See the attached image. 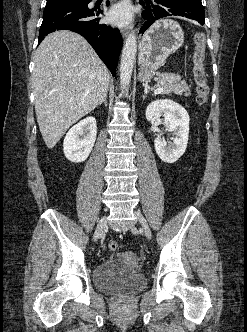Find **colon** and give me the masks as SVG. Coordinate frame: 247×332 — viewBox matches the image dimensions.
I'll return each instance as SVG.
<instances>
[{
	"label": "colon",
	"mask_w": 247,
	"mask_h": 332,
	"mask_svg": "<svg viewBox=\"0 0 247 332\" xmlns=\"http://www.w3.org/2000/svg\"><path fill=\"white\" fill-rule=\"evenodd\" d=\"M194 51L192 54L193 62V79L195 84L196 102L199 105H204L209 94V87L207 84V77L204 67L205 51H206V37L202 31H196L193 36ZM119 245L116 241H111L108 244L110 251H116Z\"/></svg>",
	"instance_id": "colon-1"
}]
</instances>
